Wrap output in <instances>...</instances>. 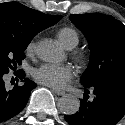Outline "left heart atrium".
Returning <instances> with one entry per match:
<instances>
[{
  "label": "left heart atrium",
  "instance_id": "1",
  "mask_svg": "<svg viewBox=\"0 0 125 125\" xmlns=\"http://www.w3.org/2000/svg\"><path fill=\"white\" fill-rule=\"evenodd\" d=\"M73 75V68L68 64L45 63L32 72L36 81L52 88L63 87L72 79Z\"/></svg>",
  "mask_w": 125,
  "mask_h": 125
}]
</instances>
